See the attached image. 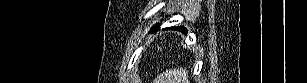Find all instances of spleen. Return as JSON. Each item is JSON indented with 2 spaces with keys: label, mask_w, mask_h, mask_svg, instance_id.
I'll return each mask as SVG.
<instances>
[{
  "label": "spleen",
  "mask_w": 307,
  "mask_h": 83,
  "mask_svg": "<svg viewBox=\"0 0 307 83\" xmlns=\"http://www.w3.org/2000/svg\"><path fill=\"white\" fill-rule=\"evenodd\" d=\"M154 83H190L188 71L184 68H174L161 73Z\"/></svg>",
  "instance_id": "1"
}]
</instances>
